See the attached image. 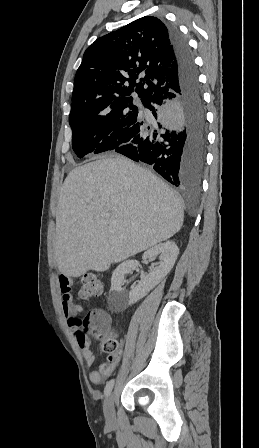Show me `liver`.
I'll return each mask as SVG.
<instances>
[{
	"label": "liver",
	"instance_id": "liver-1",
	"mask_svg": "<svg viewBox=\"0 0 259 448\" xmlns=\"http://www.w3.org/2000/svg\"><path fill=\"white\" fill-rule=\"evenodd\" d=\"M103 214H111L105 220ZM183 208L174 192L124 156L97 158L68 174L56 210L54 250L66 278L105 272L172 238Z\"/></svg>",
	"mask_w": 259,
	"mask_h": 448
}]
</instances>
